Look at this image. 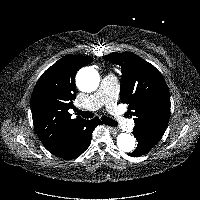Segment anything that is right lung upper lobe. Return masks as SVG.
Masks as SVG:
<instances>
[{
    "mask_svg": "<svg viewBox=\"0 0 200 200\" xmlns=\"http://www.w3.org/2000/svg\"><path fill=\"white\" fill-rule=\"evenodd\" d=\"M92 57L66 55L40 77L31 96V112L35 132L44 146L58 148L84 120L71 118L68 112L76 98L75 75Z\"/></svg>",
    "mask_w": 200,
    "mask_h": 200,
    "instance_id": "right-lung-upper-lobe-1",
    "label": "right lung upper lobe"
}]
</instances>
